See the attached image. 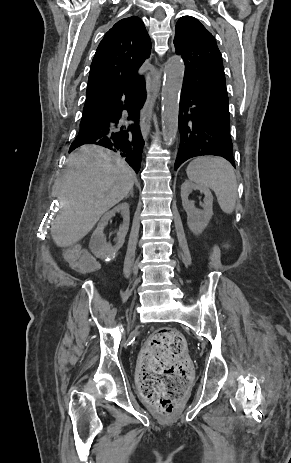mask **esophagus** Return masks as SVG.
Listing matches in <instances>:
<instances>
[{"label":"esophagus","mask_w":291,"mask_h":463,"mask_svg":"<svg viewBox=\"0 0 291 463\" xmlns=\"http://www.w3.org/2000/svg\"><path fill=\"white\" fill-rule=\"evenodd\" d=\"M160 87V79H159V74L157 73L154 76L153 83H152V92L153 95H155ZM150 127L146 124L141 125V130L144 135H147Z\"/></svg>","instance_id":"obj_1"}]
</instances>
